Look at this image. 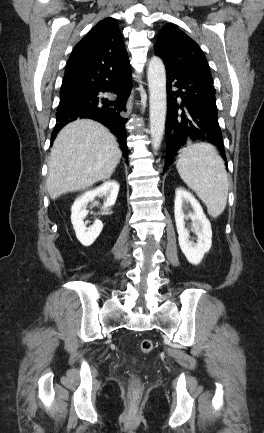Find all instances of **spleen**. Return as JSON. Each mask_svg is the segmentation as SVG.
<instances>
[{"mask_svg": "<svg viewBox=\"0 0 264 433\" xmlns=\"http://www.w3.org/2000/svg\"><path fill=\"white\" fill-rule=\"evenodd\" d=\"M176 168L181 179L204 202L210 216L224 211L228 197V176L224 161L215 147L195 143L181 149Z\"/></svg>", "mask_w": 264, "mask_h": 433, "instance_id": "obj_1", "label": "spleen"}]
</instances>
